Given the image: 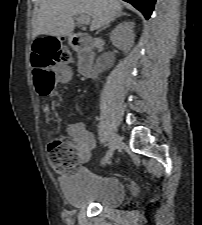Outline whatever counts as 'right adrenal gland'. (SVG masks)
<instances>
[{
	"instance_id": "right-adrenal-gland-1",
	"label": "right adrenal gland",
	"mask_w": 202,
	"mask_h": 225,
	"mask_svg": "<svg viewBox=\"0 0 202 225\" xmlns=\"http://www.w3.org/2000/svg\"><path fill=\"white\" fill-rule=\"evenodd\" d=\"M121 16H129V14H127V13H120V14L117 15L114 19H112L111 22H114L117 18H119V17H121ZM109 26H110V23L106 24L103 28H101V29L97 32V34L100 33L102 30L106 29V28L109 27Z\"/></svg>"
}]
</instances>
